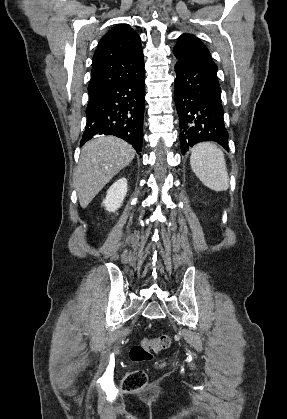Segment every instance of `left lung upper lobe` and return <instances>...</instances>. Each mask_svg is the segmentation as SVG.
I'll list each match as a JSON object with an SVG mask.
<instances>
[{"instance_id":"obj_1","label":"left lung upper lobe","mask_w":287,"mask_h":419,"mask_svg":"<svg viewBox=\"0 0 287 419\" xmlns=\"http://www.w3.org/2000/svg\"><path fill=\"white\" fill-rule=\"evenodd\" d=\"M177 62L190 67H216L207 47L195 36L183 34L173 49Z\"/></svg>"}]
</instances>
